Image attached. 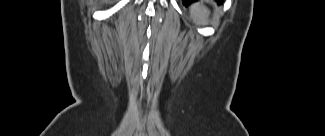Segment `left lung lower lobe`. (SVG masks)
Masks as SVG:
<instances>
[{"label":"left lung lower lobe","instance_id":"1","mask_svg":"<svg viewBox=\"0 0 325 136\" xmlns=\"http://www.w3.org/2000/svg\"><path fill=\"white\" fill-rule=\"evenodd\" d=\"M195 1H198V0H183V4H184L185 6H187V5H189L190 3L195 2ZM216 1H218V2H222V0H216Z\"/></svg>","mask_w":325,"mask_h":136}]
</instances>
